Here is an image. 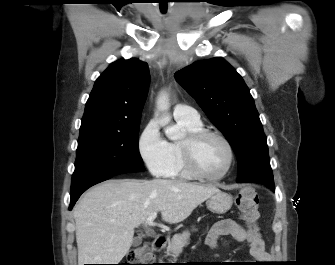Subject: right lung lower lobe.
<instances>
[{
    "instance_id": "98d812e1",
    "label": "right lung lower lobe",
    "mask_w": 335,
    "mask_h": 265,
    "mask_svg": "<svg viewBox=\"0 0 335 265\" xmlns=\"http://www.w3.org/2000/svg\"><path fill=\"white\" fill-rule=\"evenodd\" d=\"M112 176H100V177H96L93 178L89 181H86L82 184H80L79 186H77L74 189H71V202H70V206H69V210H71L73 208V206L75 205V202L78 200V198L81 196V194L87 190L89 187L102 182L104 180H107L109 178H111Z\"/></svg>"
}]
</instances>
